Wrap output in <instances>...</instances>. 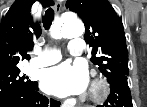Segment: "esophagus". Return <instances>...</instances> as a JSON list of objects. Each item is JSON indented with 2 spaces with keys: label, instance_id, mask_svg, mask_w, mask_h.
Listing matches in <instances>:
<instances>
[{
  "label": "esophagus",
  "instance_id": "esophagus-1",
  "mask_svg": "<svg viewBox=\"0 0 147 107\" xmlns=\"http://www.w3.org/2000/svg\"><path fill=\"white\" fill-rule=\"evenodd\" d=\"M61 7H62V4L60 1H56L55 2V12L57 15H59V13L61 12Z\"/></svg>",
  "mask_w": 147,
  "mask_h": 107
}]
</instances>
